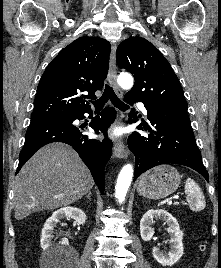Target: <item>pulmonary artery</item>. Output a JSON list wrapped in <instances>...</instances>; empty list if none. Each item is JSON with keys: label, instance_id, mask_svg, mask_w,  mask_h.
Segmentation results:
<instances>
[{"label": "pulmonary artery", "instance_id": "1", "mask_svg": "<svg viewBox=\"0 0 221 268\" xmlns=\"http://www.w3.org/2000/svg\"><path fill=\"white\" fill-rule=\"evenodd\" d=\"M137 105L144 114H147V109L142 103H138Z\"/></svg>", "mask_w": 221, "mask_h": 268}]
</instances>
